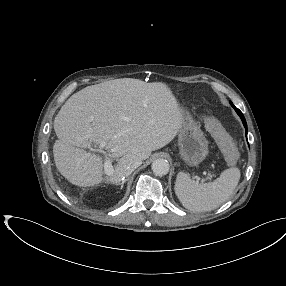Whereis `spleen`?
<instances>
[{"mask_svg":"<svg viewBox=\"0 0 286 286\" xmlns=\"http://www.w3.org/2000/svg\"><path fill=\"white\" fill-rule=\"evenodd\" d=\"M240 170L231 167L224 170L219 178L208 183L192 180L185 172H179L175 182V193L182 205L193 212H205L218 208L234 193Z\"/></svg>","mask_w":286,"mask_h":286,"instance_id":"1","label":"spleen"}]
</instances>
